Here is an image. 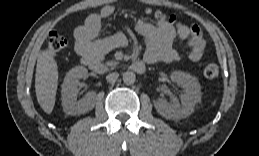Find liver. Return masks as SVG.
I'll return each mask as SVG.
<instances>
[{"mask_svg": "<svg viewBox=\"0 0 259 156\" xmlns=\"http://www.w3.org/2000/svg\"><path fill=\"white\" fill-rule=\"evenodd\" d=\"M58 86V67L48 51H42L37 59L35 92L40 107L50 114L53 111Z\"/></svg>", "mask_w": 259, "mask_h": 156, "instance_id": "liver-1", "label": "liver"}]
</instances>
